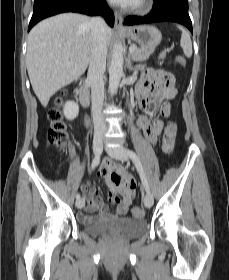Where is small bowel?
<instances>
[{"label":"small bowel","instance_id":"small-bowel-1","mask_svg":"<svg viewBox=\"0 0 229 280\" xmlns=\"http://www.w3.org/2000/svg\"><path fill=\"white\" fill-rule=\"evenodd\" d=\"M176 92L175 87L170 89L164 86L152 73L143 72L137 82L136 100L146 115L158 113L162 117H168L170 114L168 100L172 99ZM137 126L149 141L155 143L157 136L162 131L163 122L159 119L150 120L147 117H141L137 121ZM115 171L123 177L122 182L118 185L114 184L111 180V175ZM98 176L104 178L107 183L110 193L113 195L112 200L109 201L117 205V208L114 213H111L107 205L99 199L93 188L89 184H83L81 190L84 196L83 199L86 202L82 211L78 212V219L82 222L124 217L132 203L136 181L130 173L125 172L123 164L108 159L100 167ZM96 212H100L101 215L99 217L94 216L93 214Z\"/></svg>","mask_w":229,"mask_h":280}]
</instances>
